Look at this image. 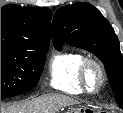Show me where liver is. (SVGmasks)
Listing matches in <instances>:
<instances>
[{"mask_svg":"<svg viewBox=\"0 0 123 113\" xmlns=\"http://www.w3.org/2000/svg\"><path fill=\"white\" fill-rule=\"evenodd\" d=\"M74 101L60 95H46L4 108L1 113H55L60 108L73 104Z\"/></svg>","mask_w":123,"mask_h":113,"instance_id":"obj_1","label":"liver"}]
</instances>
